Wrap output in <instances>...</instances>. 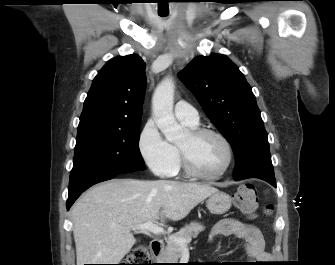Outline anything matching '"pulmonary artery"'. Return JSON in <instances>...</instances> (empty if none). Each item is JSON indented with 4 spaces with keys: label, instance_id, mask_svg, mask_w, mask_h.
<instances>
[{
    "label": "pulmonary artery",
    "instance_id": "1",
    "mask_svg": "<svg viewBox=\"0 0 335 265\" xmlns=\"http://www.w3.org/2000/svg\"><path fill=\"white\" fill-rule=\"evenodd\" d=\"M174 113L178 120L187 125L197 126L199 124V115L197 110L185 101H179L176 103Z\"/></svg>",
    "mask_w": 335,
    "mask_h": 265
}]
</instances>
